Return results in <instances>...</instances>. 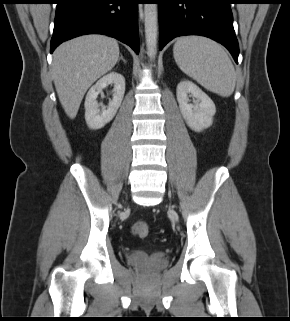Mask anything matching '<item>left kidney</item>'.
I'll list each match as a JSON object with an SVG mask.
<instances>
[{"label":"left kidney","mask_w":290,"mask_h":321,"mask_svg":"<svg viewBox=\"0 0 290 321\" xmlns=\"http://www.w3.org/2000/svg\"><path fill=\"white\" fill-rule=\"evenodd\" d=\"M188 94L193 98V104L189 103ZM176 96L181 114L192 130L200 132L212 125L215 104L197 85L188 80L181 81Z\"/></svg>","instance_id":"1"}]
</instances>
